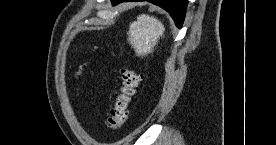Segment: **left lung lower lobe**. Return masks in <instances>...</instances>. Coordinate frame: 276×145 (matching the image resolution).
<instances>
[{
  "mask_svg": "<svg viewBox=\"0 0 276 145\" xmlns=\"http://www.w3.org/2000/svg\"><path fill=\"white\" fill-rule=\"evenodd\" d=\"M113 5L124 1H144V0H111ZM155 5L160 6L170 13L177 27H181L185 18L188 0H147Z\"/></svg>",
  "mask_w": 276,
  "mask_h": 145,
  "instance_id": "obj_1",
  "label": "left lung lower lobe"
}]
</instances>
